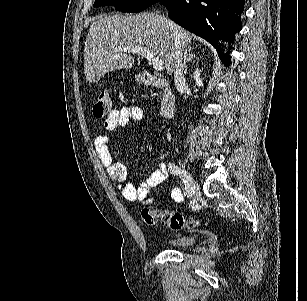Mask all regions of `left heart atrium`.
<instances>
[{"mask_svg":"<svg viewBox=\"0 0 307 301\" xmlns=\"http://www.w3.org/2000/svg\"><path fill=\"white\" fill-rule=\"evenodd\" d=\"M163 62H175V61H163Z\"/></svg>","mask_w":307,"mask_h":301,"instance_id":"left-heart-atrium-1","label":"left heart atrium"}]
</instances>
